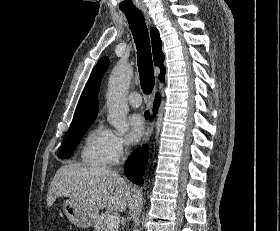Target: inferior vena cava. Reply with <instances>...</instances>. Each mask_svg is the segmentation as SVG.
Here are the masks:
<instances>
[{
    "mask_svg": "<svg viewBox=\"0 0 280 231\" xmlns=\"http://www.w3.org/2000/svg\"><path fill=\"white\" fill-rule=\"evenodd\" d=\"M121 155H123V151H121ZM123 159H125V157H123Z\"/></svg>",
    "mask_w": 280,
    "mask_h": 231,
    "instance_id": "602c4592",
    "label": "inferior vena cava"
}]
</instances>
